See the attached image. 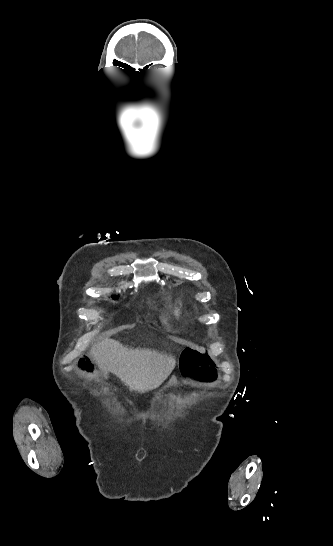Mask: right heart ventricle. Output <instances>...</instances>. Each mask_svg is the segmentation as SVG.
I'll return each instance as SVG.
<instances>
[{"instance_id":"right-heart-ventricle-1","label":"right heart ventricle","mask_w":333,"mask_h":546,"mask_svg":"<svg viewBox=\"0 0 333 546\" xmlns=\"http://www.w3.org/2000/svg\"><path fill=\"white\" fill-rule=\"evenodd\" d=\"M184 304L181 301H177L174 305L173 314L176 319L182 320L184 317Z\"/></svg>"}]
</instances>
